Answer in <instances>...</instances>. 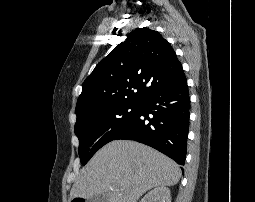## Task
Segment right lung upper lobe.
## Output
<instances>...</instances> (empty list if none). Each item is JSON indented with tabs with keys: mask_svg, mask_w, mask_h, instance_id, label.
Instances as JSON below:
<instances>
[{
	"mask_svg": "<svg viewBox=\"0 0 255 202\" xmlns=\"http://www.w3.org/2000/svg\"><path fill=\"white\" fill-rule=\"evenodd\" d=\"M185 80L170 43L157 31L137 28L84 81L76 105L77 119L110 105L141 103Z\"/></svg>",
	"mask_w": 255,
	"mask_h": 202,
	"instance_id": "obj_1",
	"label": "right lung upper lobe"
}]
</instances>
